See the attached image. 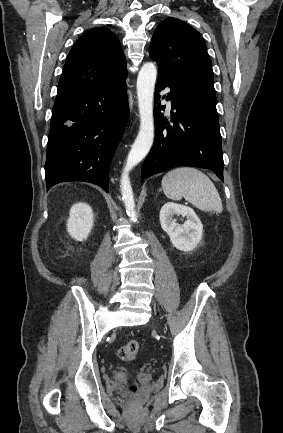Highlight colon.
Masks as SVG:
<instances>
[{
  "instance_id": "5ec220e1",
  "label": "colon",
  "mask_w": 283,
  "mask_h": 433,
  "mask_svg": "<svg viewBox=\"0 0 283 433\" xmlns=\"http://www.w3.org/2000/svg\"><path fill=\"white\" fill-rule=\"evenodd\" d=\"M141 350V344L137 340H129L124 343L118 351L119 357L125 361H131L136 358ZM129 395L135 397L137 395V387L135 384H130L128 387Z\"/></svg>"
}]
</instances>
